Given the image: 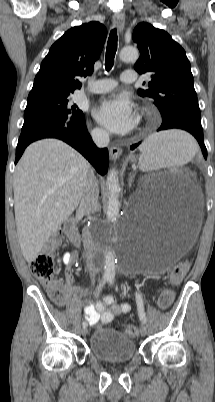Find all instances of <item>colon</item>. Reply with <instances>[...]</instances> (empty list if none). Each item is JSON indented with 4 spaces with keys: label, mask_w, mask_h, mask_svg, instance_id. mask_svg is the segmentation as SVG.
<instances>
[{
    "label": "colon",
    "mask_w": 215,
    "mask_h": 402,
    "mask_svg": "<svg viewBox=\"0 0 215 402\" xmlns=\"http://www.w3.org/2000/svg\"><path fill=\"white\" fill-rule=\"evenodd\" d=\"M58 238L51 239L44 247L43 251L38 254L31 262L30 269L33 275L49 289L52 300L62 305L65 301L64 291L61 285L55 279V269L53 260V251L59 245ZM189 267L188 262L180 263L172 272V280L180 282ZM173 292L170 290L163 291L158 298V305L162 309H168L173 302ZM125 334L130 337L138 335V327L129 324L125 327Z\"/></svg>",
    "instance_id": "obj_1"
}]
</instances>
